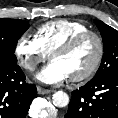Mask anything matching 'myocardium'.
Masks as SVG:
<instances>
[{"label": "myocardium", "instance_id": "obj_1", "mask_svg": "<svg viewBox=\"0 0 118 118\" xmlns=\"http://www.w3.org/2000/svg\"><path fill=\"white\" fill-rule=\"evenodd\" d=\"M87 38H92L96 42L97 45V54L95 57L94 62L89 67L87 71L80 75L71 76L70 80L73 82H81L90 79L99 69L103 58L105 54V44L103 41V38L96 32L91 30H86L81 33H78L68 40H66L64 43H62L60 46H58L52 53H51V59L58 54H64L67 52H70L73 50L78 44L83 42Z\"/></svg>", "mask_w": 118, "mask_h": 118}]
</instances>
